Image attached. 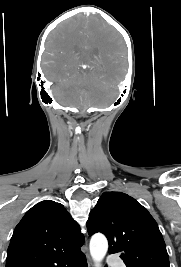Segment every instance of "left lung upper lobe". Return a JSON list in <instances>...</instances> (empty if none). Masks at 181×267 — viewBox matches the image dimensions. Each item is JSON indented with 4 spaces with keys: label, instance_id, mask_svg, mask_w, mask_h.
<instances>
[{
    "label": "left lung upper lobe",
    "instance_id": "5c2ea615",
    "mask_svg": "<svg viewBox=\"0 0 181 267\" xmlns=\"http://www.w3.org/2000/svg\"><path fill=\"white\" fill-rule=\"evenodd\" d=\"M87 230L90 236L103 233L109 253H119L127 267H170L156 221L125 193H103L89 214Z\"/></svg>",
    "mask_w": 181,
    "mask_h": 267
}]
</instances>
